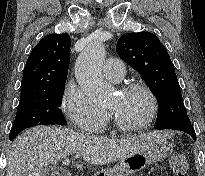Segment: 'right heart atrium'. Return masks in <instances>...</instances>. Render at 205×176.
<instances>
[{"label":"right heart atrium","instance_id":"obj_1","mask_svg":"<svg viewBox=\"0 0 205 176\" xmlns=\"http://www.w3.org/2000/svg\"><path fill=\"white\" fill-rule=\"evenodd\" d=\"M62 109L78 129L86 132L103 125L107 119V113L98 108L74 83H69L65 89Z\"/></svg>","mask_w":205,"mask_h":176}]
</instances>
